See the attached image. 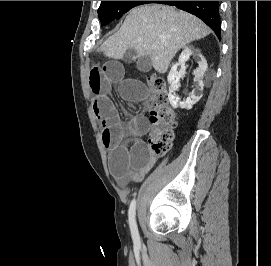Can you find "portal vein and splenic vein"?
Masks as SVG:
<instances>
[{
  "mask_svg": "<svg viewBox=\"0 0 271 266\" xmlns=\"http://www.w3.org/2000/svg\"><path fill=\"white\" fill-rule=\"evenodd\" d=\"M152 48H153V49H157V46H156V45H153Z\"/></svg>",
  "mask_w": 271,
  "mask_h": 266,
  "instance_id": "1",
  "label": "portal vein and splenic vein"
}]
</instances>
